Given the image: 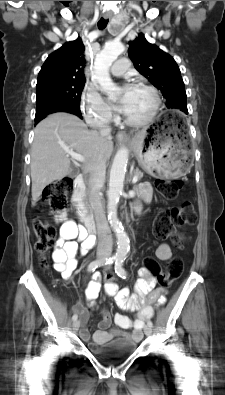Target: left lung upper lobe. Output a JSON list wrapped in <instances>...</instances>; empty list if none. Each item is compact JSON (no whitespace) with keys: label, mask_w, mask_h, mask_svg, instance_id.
I'll list each match as a JSON object with an SVG mask.
<instances>
[{"label":"left lung upper lobe","mask_w":225,"mask_h":395,"mask_svg":"<svg viewBox=\"0 0 225 395\" xmlns=\"http://www.w3.org/2000/svg\"><path fill=\"white\" fill-rule=\"evenodd\" d=\"M129 45V57L136 70L162 92L167 108L179 109L188 114L184 82L173 57L147 42L142 33Z\"/></svg>","instance_id":"left-lung-upper-lobe-1"}]
</instances>
